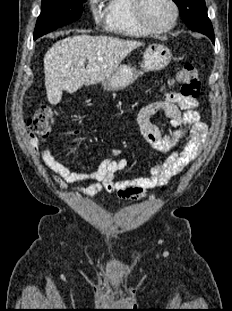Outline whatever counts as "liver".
<instances>
[{
  "label": "liver",
  "instance_id": "liver-1",
  "mask_svg": "<svg viewBox=\"0 0 232 311\" xmlns=\"http://www.w3.org/2000/svg\"><path fill=\"white\" fill-rule=\"evenodd\" d=\"M143 43L106 36L77 35L57 41L44 56L45 87L50 104L62 91L74 93L109 78L119 64ZM101 58L102 60H98ZM88 65L85 68V62Z\"/></svg>",
  "mask_w": 232,
  "mask_h": 311
}]
</instances>
